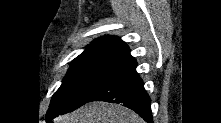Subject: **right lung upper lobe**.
<instances>
[{
	"label": "right lung upper lobe",
	"mask_w": 221,
	"mask_h": 123,
	"mask_svg": "<svg viewBox=\"0 0 221 123\" xmlns=\"http://www.w3.org/2000/svg\"><path fill=\"white\" fill-rule=\"evenodd\" d=\"M85 51H106L133 58L130 55L129 48L125 42L115 36H104L98 38L92 41Z\"/></svg>",
	"instance_id": "right-lung-upper-lobe-1"
}]
</instances>
